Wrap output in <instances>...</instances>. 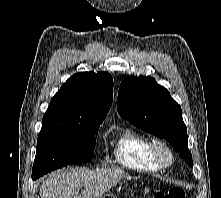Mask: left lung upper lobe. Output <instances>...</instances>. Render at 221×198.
Returning <instances> with one entry per match:
<instances>
[{"mask_svg": "<svg viewBox=\"0 0 221 198\" xmlns=\"http://www.w3.org/2000/svg\"><path fill=\"white\" fill-rule=\"evenodd\" d=\"M117 109L121 117L142 130L165 138L192 166L187 128L180 105L154 78L128 77L119 87Z\"/></svg>", "mask_w": 221, "mask_h": 198, "instance_id": "5c2ea615", "label": "left lung upper lobe"}]
</instances>
